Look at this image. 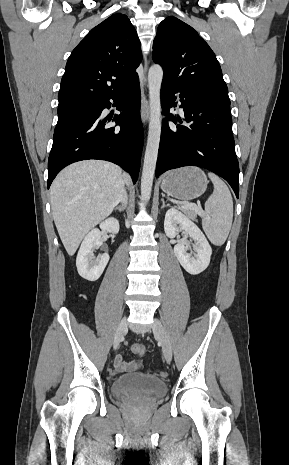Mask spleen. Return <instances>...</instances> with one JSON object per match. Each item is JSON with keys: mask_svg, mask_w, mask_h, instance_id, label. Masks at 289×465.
<instances>
[{"mask_svg": "<svg viewBox=\"0 0 289 465\" xmlns=\"http://www.w3.org/2000/svg\"><path fill=\"white\" fill-rule=\"evenodd\" d=\"M214 191L201 212L202 227L215 246L225 243L233 221V200L227 185L215 174L209 173Z\"/></svg>", "mask_w": 289, "mask_h": 465, "instance_id": "1", "label": "spleen"}]
</instances>
